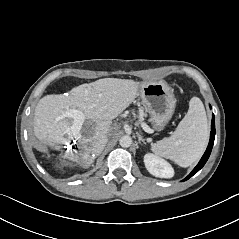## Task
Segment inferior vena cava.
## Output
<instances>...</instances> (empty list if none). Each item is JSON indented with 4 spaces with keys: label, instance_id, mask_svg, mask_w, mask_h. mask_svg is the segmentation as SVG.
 Masks as SVG:
<instances>
[{
    "label": "inferior vena cava",
    "instance_id": "inferior-vena-cava-1",
    "mask_svg": "<svg viewBox=\"0 0 239 239\" xmlns=\"http://www.w3.org/2000/svg\"><path fill=\"white\" fill-rule=\"evenodd\" d=\"M107 142H108L107 136H105V135L100 136L99 138H97V140L95 142L94 149L98 153H100L106 146Z\"/></svg>",
    "mask_w": 239,
    "mask_h": 239
}]
</instances>
